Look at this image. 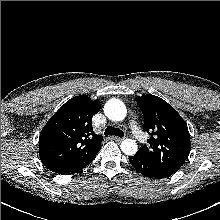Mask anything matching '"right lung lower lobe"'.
I'll use <instances>...</instances> for the list:
<instances>
[{"instance_id": "98d812e1", "label": "right lung lower lobe", "mask_w": 220, "mask_h": 220, "mask_svg": "<svg viewBox=\"0 0 220 220\" xmlns=\"http://www.w3.org/2000/svg\"><path fill=\"white\" fill-rule=\"evenodd\" d=\"M99 150L95 151L91 156L83 160H80L68 166L62 167L54 172L57 174H61V175L76 173L80 171L81 169H83L86 165H88L95 158Z\"/></svg>"}]
</instances>
